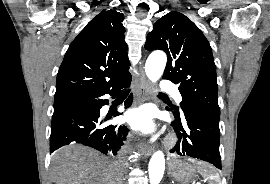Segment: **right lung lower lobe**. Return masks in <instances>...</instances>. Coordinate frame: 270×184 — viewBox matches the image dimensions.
Returning a JSON list of instances; mask_svg holds the SVG:
<instances>
[{"instance_id": "obj_1", "label": "right lung lower lobe", "mask_w": 270, "mask_h": 184, "mask_svg": "<svg viewBox=\"0 0 270 184\" xmlns=\"http://www.w3.org/2000/svg\"><path fill=\"white\" fill-rule=\"evenodd\" d=\"M130 79L106 88L77 94L55 96L52 116L50 153L70 143H81L107 154L114 155L123 145L128 129L125 126H107L99 128L100 109L108 104L101 97L110 94L116 97L127 86ZM132 103V95L125 102V107ZM119 115V113L117 114Z\"/></svg>"}]
</instances>
